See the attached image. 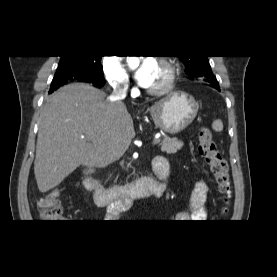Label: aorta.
Segmentation results:
<instances>
[{"mask_svg":"<svg viewBox=\"0 0 277 277\" xmlns=\"http://www.w3.org/2000/svg\"><path fill=\"white\" fill-rule=\"evenodd\" d=\"M128 63L129 65H136L139 62V59L137 56H128Z\"/></svg>","mask_w":277,"mask_h":277,"instance_id":"762f6f07","label":"aorta"}]
</instances>
